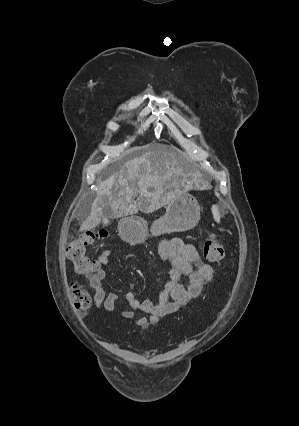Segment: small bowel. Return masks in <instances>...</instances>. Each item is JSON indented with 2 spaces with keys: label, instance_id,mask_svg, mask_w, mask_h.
I'll list each match as a JSON object with an SVG mask.
<instances>
[{
  "label": "small bowel",
  "instance_id": "small-bowel-1",
  "mask_svg": "<svg viewBox=\"0 0 299 426\" xmlns=\"http://www.w3.org/2000/svg\"><path fill=\"white\" fill-rule=\"evenodd\" d=\"M111 255L112 250L105 249L96 260L98 270L89 276L90 285L95 291V300L107 312H113L116 303L121 299L118 294L108 292L103 285L106 273L102 267L108 264ZM159 255L163 261L170 264L171 268L164 289L158 296V302L139 300L132 291H128L124 296L129 308L124 310L121 316L131 320L137 312H143L145 315L134 321L142 328H148L157 323L161 317L179 311L184 305L192 304L203 287L213 279V268L202 258L198 249L178 237L162 240L159 243ZM184 277L188 280L190 293L188 302L184 305L170 304L169 293Z\"/></svg>",
  "mask_w": 299,
  "mask_h": 426
}]
</instances>
